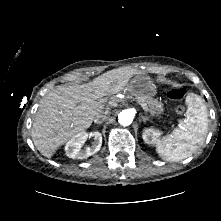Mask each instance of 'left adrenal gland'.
Wrapping results in <instances>:
<instances>
[{"label":"left adrenal gland","mask_w":221,"mask_h":221,"mask_svg":"<svg viewBox=\"0 0 221 221\" xmlns=\"http://www.w3.org/2000/svg\"><path fill=\"white\" fill-rule=\"evenodd\" d=\"M141 119H142L143 122H146V121H148L150 119V117H148V116H141Z\"/></svg>","instance_id":"1"}]
</instances>
